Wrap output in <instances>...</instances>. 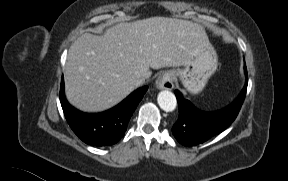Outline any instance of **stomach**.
I'll use <instances>...</instances> for the list:
<instances>
[{
    "instance_id": "obj_1",
    "label": "stomach",
    "mask_w": 288,
    "mask_h": 181,
    "mask_svg": "<svg viewBox=\"0 0 288 181\" xmlns=\"http://www.w3.org/2000/svg\"><path fill=\"white\" fill-rule=\"evenodd\" d=\"M218 66L217 53L202 29V35L190 47L183 69L173 70L184 87L192 94L201 92Z\"/></svg>"
}]
</instances>
